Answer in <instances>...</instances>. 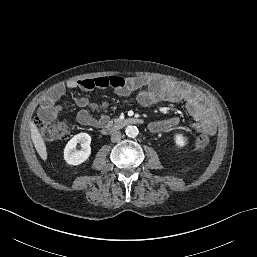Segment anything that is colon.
Here are the masks:
<instances>
[{"label": "colon", "instance_id": "colon-1", "mask_svg": "<svg viewBox=\"0 0 257 257\" xmlns=\"http://www.w3.org/2000/svg\"><path fill=\"white\" fill-rule=\"evenodd\" d=\"M36 126L43 138L47 141L66 140L72 134L70 125L66 121L57 119L54 116L43 115L42 117L36 118ZM209 135V130L205 128L195 142V148L197 150H203L209 145Z\"/></svg>", "mask_w": 257, "mask_h": 257}]
</instances>
